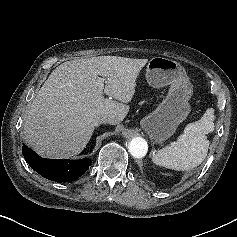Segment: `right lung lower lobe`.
Returning <instances> with one entry per match:
<instances>
[{"mask_svg": "<svg viewBox=\"0 0 237 237\" xmlns=\"http://www.w3.org/2000/svg\"><path fill=\"white\" fill-rule=\"evenodd\" d=\"M23 155L30 167L41 176L55 182H69L83 175L91 165V160H55L37 155L26 145L22 147Z\"/></svg>", "mask_w": 237, "mask_h": 237, "instance_id": "1", "label": "right lung lower lobe"}]
</instances>
